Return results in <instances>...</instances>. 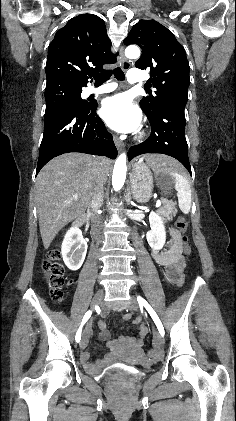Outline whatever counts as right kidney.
<instances>
[{"mask_svg": "<svg viewBox=\"0 0 236 421\" xmlns=\"http://www.w3.org/2000/svg\"><path fill=\"white\" fill-rule=\"evenodd\" d=\"M61 253L63 261L70 271H78L82 267L87 253V243L78 227H72L70 231H67Z\"/></svg>", "mask_w": 236, "mask_h": 421, "instance_id": "ca27d5eb", "label": "right kidney"}]
</instances>
